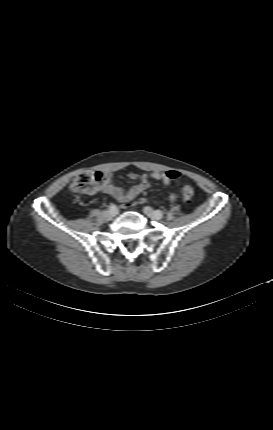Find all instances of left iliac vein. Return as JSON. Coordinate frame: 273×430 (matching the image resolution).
I'll use <instances>...</instances> for the list:
<instances>
[{"mask_svg":"<svg viewBox=\"0 0 273 430\" xmlns=\"http://www.w3.org/2000/svg\"><path fill=\"white\" fill-rule=\"evenodd\" d=\"M143 212L148 217H150L151 219H154V220H160L162 218V216H160L157 211H154L151 207H148V206L143 208Z\"/></svg>","mask_w":273,"mask_h":430,"instance_id":"4c4485c4","label":"left iliac vein"}]
</instances>
